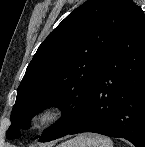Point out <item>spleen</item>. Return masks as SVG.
<instances>
[{
  "instance_id": "3e777b00",
  "label": "spleen",
  "mask_w": 145,
  "mask_h": 147,
  "mask_svg": "<svg viewBox=\"0 0 145 147\" xmlns=\"http://www.w3.org/2000/svg\"><path fill=\"white\" fill-rule=\"evenodd\" d=\"M66 147H113V143L106 136L84 133L70 140Z\"/></svg>"
}]
</instances>
